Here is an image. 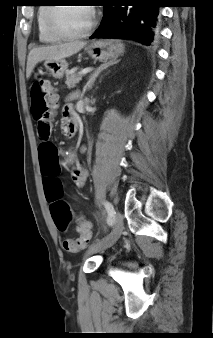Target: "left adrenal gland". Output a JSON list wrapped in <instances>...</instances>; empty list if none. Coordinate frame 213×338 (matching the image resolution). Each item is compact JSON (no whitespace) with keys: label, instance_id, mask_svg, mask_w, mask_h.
<instances>
[{"label":"left adrenal gland","instance_id":"a2214340","mask_svg":"<svg viewBox=\"0 0 213 338\" xmlns=\"http://www.w3.org/2000/svg\"><path fill=\"white\" fill-rule=\"evenodd\" d=\"M119 60H110L108 62H105L103 64H101L97 69H95L89 76L88 82L86 84L87 89H91L92 86L94 85V82L96 80V78L99 76V74L104 71L105 69H107L108 67L118 63Z\"/></svg>","mask_w":213,"mask_h":338}]
</instances>
